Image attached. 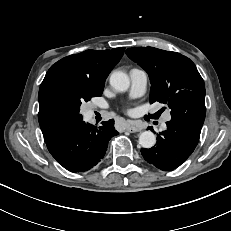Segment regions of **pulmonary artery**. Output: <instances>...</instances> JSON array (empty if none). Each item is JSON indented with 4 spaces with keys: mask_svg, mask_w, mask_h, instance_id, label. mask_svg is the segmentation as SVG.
Segmentation results:
<instances>
[{
    "mask_svg": "<svg viewBox=\"0 0 231 231\" xmlns=\"http://www.w3.org/2000/svg\"><path fill=\"white\" fill-rule=\"evenodd\" d=\"M130 79H131V90L130 95L131 97H139L141 96L147 86L148 81V75L146 71L139 68H133L130 70ZM171 119L170 113H165L162 119V128L164 129L166 127V122H168Z\"/></svg>",
    "mask_w": 231,
    "mask_h": 231,
    "instance_id": "e3ab8cb5",
    "label": "pulmonary artery"
}]
</instances>
